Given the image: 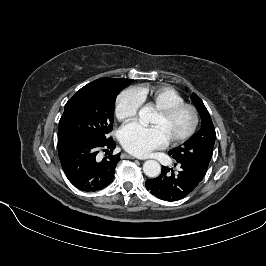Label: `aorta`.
<instances>
[{"label":"aorta","instance_id":"aorta-1","mask_svg":"<svg viewBox=\"0 0 266 266\" xmlns=\"http://www.w3.org/2000/svg\"><path fill=\"white\" fill-rule=\"evenodd\" d=\"M152 108L150 106H144L139 111V121L142 124H147L151 122L152 119ZM143 172L146 176L155 178L161 173V166L155 160H147L143 164Z\"/></svg>","mask_w":266,"mask_h":266}]
</instances>
